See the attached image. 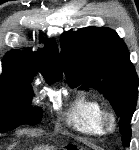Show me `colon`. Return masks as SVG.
<instances>
[{"instance_id": "5ec220e1", "label": "colon", "mask_w": 139, "mask_h": 150, "mask_svg": "<svg viewBox=\"0 0 139 150\" xmlns=\"http://www.w3.org/2000/svg\"><path fill=\"white\" fill-rule=\"evenodd\" d=\"M69 150H77V149L71 147Z\"/></svg>"}]
</instances>
